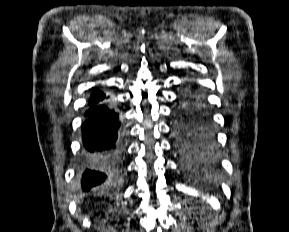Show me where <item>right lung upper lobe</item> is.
Listing matches in <instances>:
<instances>
[{
    "label": "right lung upper lobe",
    "mask_w": 289,
    "mask_h": 232,
    "mask_svg": "<svg viewBox=\"0 0 289 232\" xmlns=\"http://www.w3.org/2000/svg\"><path fill=\"white\" fill-rule=\"evenodd\" d=\"M107 95L102 91L96 90L90 98L106 97Z\"/></svg>",
    "instance_id": "obj_1"
}]
</instances>
